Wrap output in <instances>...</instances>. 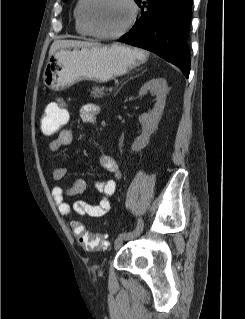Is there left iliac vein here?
<instances>
[{
  "label": "left iliac vein",
  "mask_w": 245,
  "mask_h": 319,
  "mask_svg": "<svg viewBox=\"0 0 245 319\" xmlns=\"http://www.w3.org/2000/svg\"><path fill=\"white\" fill-rule=\"evenodd\" d=\"M139 234H140V232L136 236H138ZM136 236H134V237H136ZM134 237H132V238H134ZM128 239H130V238L125 237V236H118L116 238V240H115V243H114V249L118 250L119 248H121V246L123 245L124 241L128 240Z\"/></svg>",
  "instance_id": "left-iliac-vein-1"
}]
</instances>
